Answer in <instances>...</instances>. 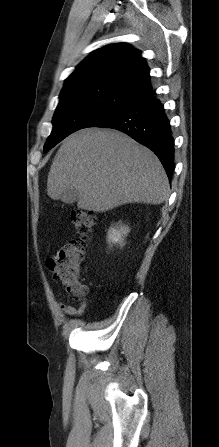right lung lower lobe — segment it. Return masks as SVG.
Returning a JSON list of instances; mask_svg holds the SVG:
<instances>
[{
	"mask_svg": "<svg viewBox=\"0 0 219 447\" xmlns=\"http://www.w3.org/2000/svg\"><path fill=\"white\" fill-rule=\"evenodd\" d=\"M97 127L119 130L152 150L171 179L174 169V145L171 126L158 99L152 97L114 116Z\"/></svg>",
	"mask_w": 219,
	"mask_h": 447,
	"instance_id": "1",
	"label": "right lung lower lobe"
}]
</instances>
